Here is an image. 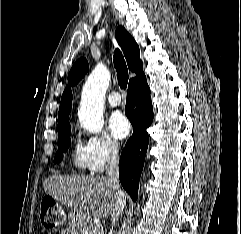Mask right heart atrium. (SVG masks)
Returning a JSON list of instances; mask_svg holds the SVG:
<instances>
[{
    "label": "right heart atrium",
    "instance_id": "obj_1",
    "mask_svg": "<svg viewBox=\"0 0 241 234\" xmlns=\"http://www.w3.org/2000/svg\"><path fill=\"white\" fill-rule=\"evenodd\" d=\"M86 148L90 160V170L101 172L118 158L119 143L108 134L91 135L86 141Z\"/></svg>",
    "mask_w": 241,
    "mask_h": 234
}]
</instances>
